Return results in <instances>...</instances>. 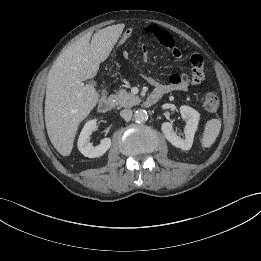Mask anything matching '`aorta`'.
I'll return each mask as SVG.
<instances>
[{
	"label": "aorta",
	"mask_w": 261,
	"mask_h": 261,
	"mask_svg": "<svg viewBox=\"0 0 261 261\" xmlns=\"http://www.w3.org/2000/svg\"><path fill=\"white\" fill-rule=\"evenodd\" d=\"M134 119L138 123H143L148 120V114L146 110L139 109L134 113Z\"/></svg>",
	"instance_id": "762f6f07"
}]
</instances>
